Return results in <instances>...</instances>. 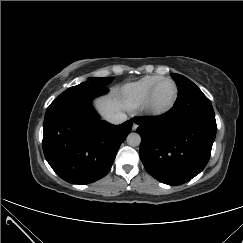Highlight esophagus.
<instances>
[{
	"instance_id": "34e87169",
	"label": "esophagus",
	"mask_w": 243,
	"mask_h": 243,
	"mask_svg": "<svg viewBox=\"0 0 243 243\" xmlns=\"http://www.w3.org/2000/svg\"><path fill=\"white\" fill-rule=\"evenodd\" d=\"M138 125L136 122H133V125H132V130L135 131L137 129Z\"/></svg>"
}]
</instances>
